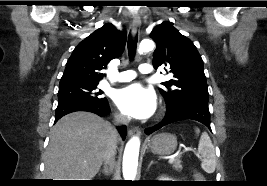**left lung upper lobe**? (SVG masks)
Masks as SVG:
<instances>
[{
	"label": "left lung upper lobe",
	"instance_id": "left-lung-upper-lobe-1",
	"mask_svg": "<svg viewBox=\"0 0 267 186\" xmlns=\"http://www.w3.org/2000/svg\"><path fill=\"white\" fill-rule=\"evenodd\" d=\"M150 36L156 42L153 66L165 65L173 73V78L163 82L164 88L160 89L167 110L185 105L208 107L203 60L192 41L180 34L171 22L156 26Z\"/></svg>",
	"mask_w": 267,
	"mask_h": 186
}]
</instances>
